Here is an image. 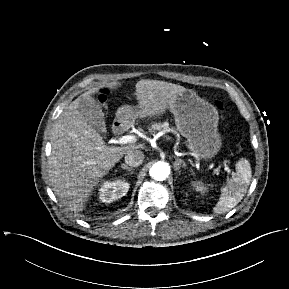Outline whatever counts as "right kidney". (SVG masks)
I'll return each instance as SVG.
<instances>
[{"mask_svg": "<svg viewBox=\"0 0 289 289\" xmlns=\"http://www.w3.org/2000/svg\"><path fill=\"white\" fill-rule=\"evenodd\" d=\"M129 187L125 180L105 181L99 189V199L104 203H111L125 196Z\"/></svg>", "mask_w": 289, "mask_h": 289, "instance_id": "obj_1", "label": "right kidney"}]
</instances>
